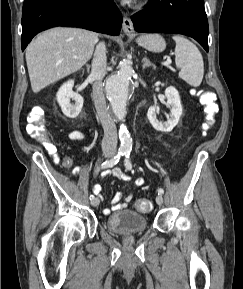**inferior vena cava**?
Wrapping results in <instances>:
<instances>
[{"instance_id":"inferior-vena-cava-1","label":"inferior vena cava","mask_w":243,"mask_h":289,"mask_svg":"<svg viewBox=\"0 0 243 289\" xmlns=\"http://www.w3.org/2000/svg\"><path fill=\"white\" fill-rule=\"evenodd\" d=\"M106 66V46L104 43H99L96 46L90 74V76L95 80L93 84V99L99 119L104 129L102 150L104 153L114 154L117 147V129L111 114L106 107V101L101 83L106 74Z\"/></svg>"}]
</instances>
